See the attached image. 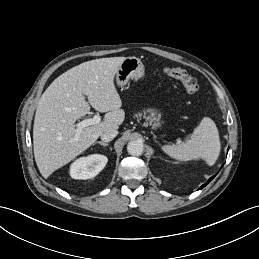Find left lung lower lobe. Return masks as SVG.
I'll return each instance as SVG.
<instances>
[{"instance_id": "1", "label": "left lung lower lobe", "mask_w": 259, "mask_h": 259, "mask_svg": "<svg viewBox=\"0 0 259 259\" xmlns=\"http://www.w3.org/2000/svg\"><path fill=\"white\" fill-rule=\"evenodd\" d=\"M213 178H214V176L211 177L205 184H203V185L200 187V189H202L203 187H205Z\"/></svg>"}]
</instances>
